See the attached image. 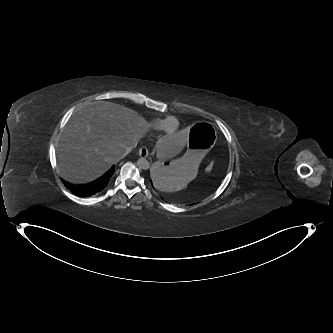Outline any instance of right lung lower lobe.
Here are the masks:
<instances>
[{"label":"right lung lower lobe","instance_id":"98d812e1","mask_svg":"<svg viewBox=\"0 0 333 333\" xmlns=\"http://www.w3.org/2000/svg\"><path fill=\"white\" fill-rule=\"evenodd\" d=\"M113 173L114 167H112L102 178L86 185H72L64 181L63 183L72 193L80 197H88L102 192L107 187Z\"/></svg>","mask_w":333,"mask_h":333}]
</instances>
